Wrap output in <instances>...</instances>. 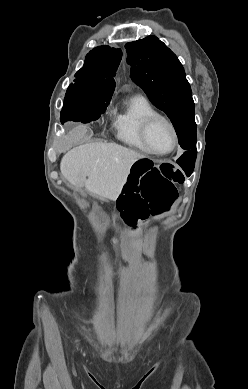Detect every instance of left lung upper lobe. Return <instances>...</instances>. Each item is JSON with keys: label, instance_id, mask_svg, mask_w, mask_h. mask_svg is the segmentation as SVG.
Returning <instances> with one entry per match:
<instances>
[{"label": "left lung upper lobe", "instance_id": "1", "mask_svg": "<svg viewBox=\"0 0 248 389\" xmlns=\"http://www.w3.org/2000/svg\"><path fill=\"white\" fill-rule=\"evenodd\" d=\"M125 48L131 79L167 114L180 146L184 150L196 148V136L188 134L184 125L195 113L192 91L176 55L155 36L129 42Z\"/></svg>", "mask_w": 248, "mask_h": 389}]
</instances>
